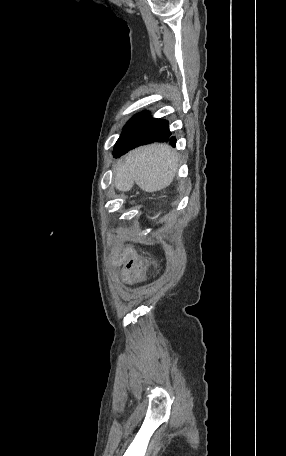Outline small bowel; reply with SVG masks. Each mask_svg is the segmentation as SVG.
Wrapping results in <instances>:
<instances>
[{
    "label": "small bowel",
    "instance_id": "obj_1",
    "mask_svg": "<svg viewBox=\"0 0 286 456\" xmlns=\"http://www.w3.org/2000/svg\"><path fill=\"white\" fill-rule=\"evenodd\" d=\"M137 258V253L130 248L121 249L116 246L111 252V263L114 266L121 267V278L127 285H133L137 282V278L134 275Z\"/></svg>",
    "mask_w": 286,
    "mask_h": 456
}]
</instances>
